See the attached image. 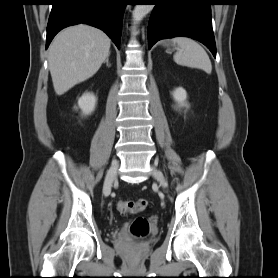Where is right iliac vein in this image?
<instances>
[{
	"mask_svg": "<svg viewBox=\"0 0 278 278\" xmlns=\"http://www.w3.org/2000/svg\"><path fill=\"white\" fill-rule=\"evenodd\" d=\"M117 170H118V163H114L108 170L105 181H104V186H103L104 194L110 193L112 184H113L114 180L116 179Z\"/></svg>",
	"mask_w": 278,
	"mask_h": 278,
	"instance_id": "1",
	"label": "right iliac vein"
}]
</instances>
